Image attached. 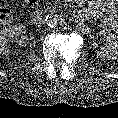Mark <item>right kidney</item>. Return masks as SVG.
Masks as SVG:
<instances>
[{"label":"right kidney","mask_w":118,"mask_h":118,"mask_svg":"<svg viewBox=\"0 0 118 118\" xmlns=\"http://www.w3.org/2000/svg\"><path fill=\"white\" fill-rule=\"evenodd\" d=\"M26 32V27L22 24L20 25H10L0 31V53L8 55L10 53L9 47L6 45L8 38L24 35ZM23 45H26L25 43Z\"/></svg>","instance_id":"right-kidney-1"}]
</instances>
